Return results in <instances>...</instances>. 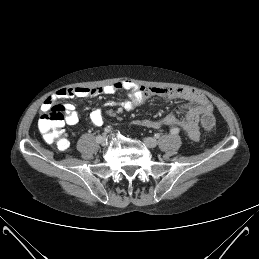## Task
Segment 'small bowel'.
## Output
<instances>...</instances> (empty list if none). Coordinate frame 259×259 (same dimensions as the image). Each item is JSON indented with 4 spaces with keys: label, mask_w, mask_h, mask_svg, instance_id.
I'll use <instances>...</instances> for the list:
<instances>
[{
    "label": "small bowel",
    "mask_w": 259,
    "mask_h": 259,
    "mask_svg": "<svg viewBox=\"0 0 259 259\" xmlns=\"http://www.w3.org/2000/svg\"><path fill=\"white\" fill-rule=\"evenodd\" d=\"M126 91L128 99L116 102L109 100L105 103L106 108L119 106L120 108L132 111L143 105L150 97L159 96L166 99H181L186 103L182 104L176 113H170L158 120L140 119L134 121L135 125L147 128L160 129L165 126H172L183 130L190 139L198 141L200 139L199 119L204 114H211L213 106L205 95L194 90L173 89L167 87H148L138 85L129 80H121L103 87L85 88H62L50 96L43 104L42 110H46L52 103L60 99L89 98L100 95H112L117 91ZM65 121L69 125H75L79 122L80 113L73 104H65ZM185 112L183 118L178 114ZM105 111L95 109L89 113V119L95 126H101L104 121ZM61 150V149H60Z\"/></svg>",
    "instance_id": "small-bowel-1"
}]
</instances>
